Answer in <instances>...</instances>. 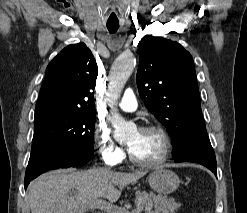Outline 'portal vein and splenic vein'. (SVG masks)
I'll return each instance as SVG.
<instances>
[{
	"label": "portal vein and splenic vein",
	"mask_w": 247,
	"mask_h": 213,
	"mask_svg": "<svg viewBox=\"0 0 247 213\" xmlns=\"http://www.w3.org/2000/svg\"><path fill=\"white\" fill-rule=\"evenodd\" d=\"M85 207L88 208H98L107 213H140L143 209L140 206H137L132 212H128L125 208L115 206L111 203H108L102 199H97L85 204Z\"/></svg>",
	"instance_id": "portal-vein-and-splenic-vein-1"
}]
</instances>
